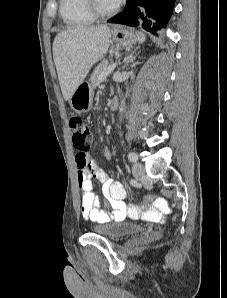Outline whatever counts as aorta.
<instances>
[{
  "label": "aorta",
  "mask_w": 227,
  "mask_h": 298,
  "mask_svg": "<svg viewBox=\"0 0 227 298\" xmlns=\"http://www.w3.org/2000/svg\"><path fill=\"white\" fill-rule=\"evenodd\" d=\"M124 107H125V100H122V101H121V105H120V113L123 112ZM121 115H122V114H121Z\"/></svg>",
  "instance_id": "obj_1"
}]
</instances>
